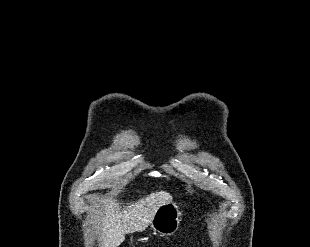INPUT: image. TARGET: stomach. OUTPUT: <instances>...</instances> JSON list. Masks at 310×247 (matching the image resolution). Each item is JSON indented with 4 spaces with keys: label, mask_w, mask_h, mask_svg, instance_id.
Returning <instances> with one entry per match:
<instances>
[{
    "label": "stomach",
    "mask_w": 310,
    "mask_h": 247,
    "mask_svg": "<svg viewBox=\"0 0 310 247\" xmlns=\"http://www.w3.org/2000/svg\"><path fill=\"white\" fill-rule=\"evenodd\" d=\"M181 216L180 207L175 202L168 201L157 208L150 224L154 232L161 236H170L178 230Z\"/></svg>",
    "instance_id": "1"
}]
</instances>
